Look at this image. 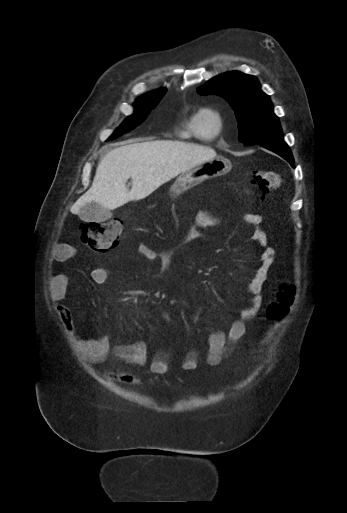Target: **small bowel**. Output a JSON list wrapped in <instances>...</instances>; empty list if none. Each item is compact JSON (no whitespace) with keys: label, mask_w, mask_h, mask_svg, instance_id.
<instances>
[{"label":"small bowel","mask_w":347,"mask_h":513,"mask_svg":"<svg viewBox=\"0 0 347 513\" xmlns=\"http://www.w3.org/2000/svg\"><path fill=\"white\" fill-rule=\"evenodd\" d=\"M222 216L209 210L199 212L196 224L191 227L181 238L179 245H183L206 237L204 229L218 225ZM243 222L250 226L253 241L260 247V262L254 277L245 286V292L250 297L249 305L239 311V318L234 320L227 331L219 328H212L208 337L206 362L209 366H217L225 360L235 344L246 334V322L253 319L261 307V292L267 282L271 265L275 259V250L268 243L266 232L261 228L262 216L255 213L245 214ZM175 248H169L160 254L145 245L138 247L137 259L141 262H153L157 258L162 261V276L167 278ZM71 256V249L67 245H58L52 250L54 262H64ZM91 279L96 284H103L109 277L106 268H95L90 273ZM68 288V278L63 273L54 274L49 281V294L53 301H60L64 298ZM59 314L66 327L73 331L69 309L58 306ZM74 341L80 356L86 362L98 364L105 362L110 355L115 356L123 364L142 367L148 362L147 344L144 341H135L131 344L118 345L113 347L107 335L97 339H84L74 334ZM169 354L166 351L156 352L150 362V369L153 373L163 374L169 370ZM198 367V352L188 351L182 362L181 368L185 371H192ZM122 380L129 383L135 382V375L124 374Z\"/></svg>","instance_id":"small-bowel-1"}]
</instances>
